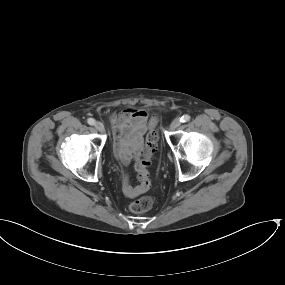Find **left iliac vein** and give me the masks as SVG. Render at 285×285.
<instances>
[{
    "instance_id": "1",
    "label": "left iliac vein",
    "mask_w": 285,
    "mask_h": 285,
    "mask_svg": "<svg viewBox=\"0 0 285 285\" xmlns=\"http://www.w3.org/2000/svg\"><path fill=\"white\" fill-rule=\"evenodd\" d=\"M180 125H181L180 119H179V118H176V119H174V120L172 121L170 127H171L172 130H175V129H177Z\"/></svg>"
}]
</instances>
